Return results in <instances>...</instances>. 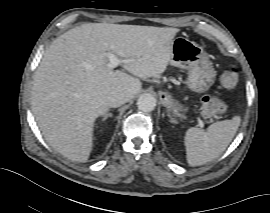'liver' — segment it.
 <instances>
[{
    "label": "liver",
    "instance_id": "obj_1",
    "mask_svg": "<svg viewBox=\"0 0 270 213\" xmlns=\"http://www.w3.org/2000/svg\"><path fill=\"white\" fill-rule=\"evenodd\" d=\"M176 28L88 23L59 36L45 51L33 78L32 111L45 140L71 161L86 162L97 117L114 90L131 100L141 79L170 63ZM122 58L129 73L107 67V54Z\"/></svg>",
    "mask_w": 270,
    "mask_h": 213
}]
</instances>
